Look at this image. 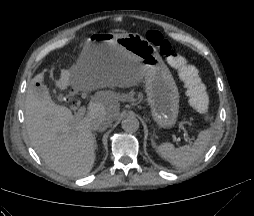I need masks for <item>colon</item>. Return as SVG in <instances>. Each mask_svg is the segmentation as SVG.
<instances>
[{
    "label": "colon",
    "instance_id": "5ec220e1",
    "mask_svg": "<svg viewBox=\"0 0 254 216\" xmlns=\"http://www.w3.org/2000/svg\"><path fill=\"white\" fill-rule=\"evenodd\" d=\"M147 40L158 47L160 53L166 57L169 64L177 70L178 77L183 83L190 105L198 113L204 114L209 106V98L204 90L196 69L189 65L186 58L173 49L157 30H149Z\"/></svg>",
    "mask_w": 254,
    "mask_h": 216
}]
</instances>
